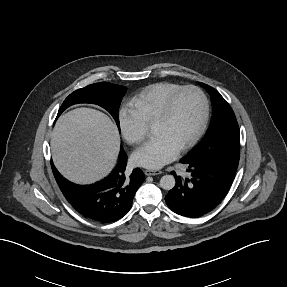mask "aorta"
<instances>
[{
	"label": "aorta",
	"mask_w": 287,
	"mask_h": 287,
	"mask_svg": "<svg viewBox=\"0 0 287 287\" xmlns=\"http://www.w3.org/2000/svg\"><path fill=\"white\" fill-rule=\"evenodd\" d=\"M160 186L164 190H171L175 186V178L173 175H164L160 179Z\"/></svg>",
	"instance_id": "1"
}]
</instances>
